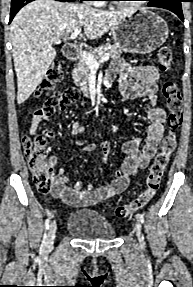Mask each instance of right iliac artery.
I'll return each mask as SVG.
<instances>
[{
	"instance_id": "82829eb1",
	"label": "right iliac artery",
	"mask_w": 193,
	"mask_h": 287,
	"mask_svg": "<svg viewBox=\"0 0 193 287\" xmlns=\"http://www.w3.org/2000/svg\"><path fill=\"white\" fill-rule=\"evenodd\" d=\"M50 220H51V215L48 216V218L45 221V229L48 230L49 229V224H50ZM46 239V233L44 234V240Z\"/></svg>"
}]
</instances>
